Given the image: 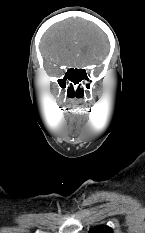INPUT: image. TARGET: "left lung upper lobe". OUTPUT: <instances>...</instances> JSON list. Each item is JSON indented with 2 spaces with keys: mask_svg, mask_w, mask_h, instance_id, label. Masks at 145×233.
I'll list each match as a JSON object with an SVG mask.
<instances>
[{
  "mask_svg": "<svg viewBox=\"0 0 145 233\" xmlns=\"http://www.w3.org/2000/svg\"><path fill=\"white\" fill-rule=\"evenodd\" d=\"M89 233H113V230L108 226H96L89 230Z\"/></svg>",
  "mask_w": 145,
  "mask_h": 233,
  "instance_id": "5c2ea615",
  "label": "left lung upper lobe"
}]
</instances>
